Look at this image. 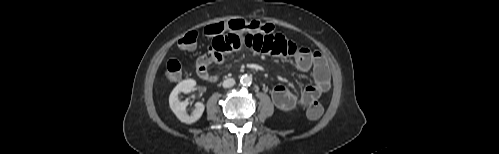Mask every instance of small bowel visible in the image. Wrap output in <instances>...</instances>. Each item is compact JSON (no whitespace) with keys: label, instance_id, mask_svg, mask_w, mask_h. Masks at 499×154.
Segmentation results:
<instances>
[{"label":"small bowel","instance_id":"obj_1","mask_svg":"<svg viewBox=\"0 0 499 154\" xmlns=\"http://www.w3.org/2000/svg\"><path fill=\"white\" fill-rule=\"evenodd\" d=\"M241 49H251L274 57H290L299 70L312 71L314 82L299 96L282 85L273 88V103L282 111L308 106L330 88V71L324 56L318 51L298 45L280 33L229 31L213 37L207 51L196 60L198 76L207 81L215 80L216 76L209 72L208 67L211 64L223 63L225 55Z\"/></svg>","mask_w":499,"mask_h":154}]
</instances>
